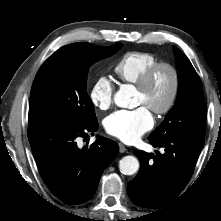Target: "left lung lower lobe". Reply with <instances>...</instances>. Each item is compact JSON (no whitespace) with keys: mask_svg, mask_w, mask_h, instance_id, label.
<instances>
[{"mask_svg":"<svg viewBox=\"0 0 221 221\" xmlns=\"http://www.w3.org/2000/svg\"><path fill=\"white\" fill-rule=\"evenodd\" d=\"M149 141L154 147H163L165 152L153 155L134 151L140 161V171L129 182L128 195L133 203L141 207L158 209L184 190L204 141L181 136Z\"/></svg>","mask_w":221,"mask_h":221,"instance_id":"1","label":"left lung lower lobe"}]
</instances>
